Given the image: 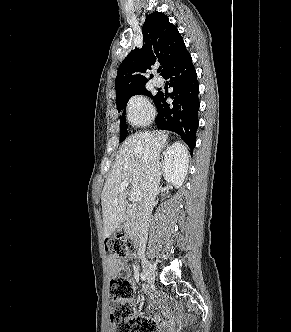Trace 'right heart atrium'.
<instances>
[{"label":"right heart atrium","instance_id":"d8ad5b80","mask_svg":"<svg viewBox=\"0 0 291 332\" xmlns=\"http://www.w3.org/2000/svg\"><path fill=\"white\" fill-rule=\"evenodd\" d=\"M153 115V108L145 97L137 95L129 100L127 118L131 124L136 126L146 125L152 120Z\"/></svg>","mask_w":291,"mask_h":332}]
</instances>
